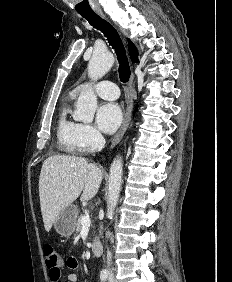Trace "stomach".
<instances>
[{"instance_id":"1","label":"stomach","mask_w":232,"mask_h":282,"mask_svg":"<svg viewBox=\"0 0 232 282\" xmlns=\"http://www.w3.org/2000/svg\"><path fill=\"white\" fill-rule=\"evenodd\" d=\"M77 215L78 209L72 204L60 211L53 225L54 229L61 237L69 238L74 233Z\"/></svg>"}]
</instances>
